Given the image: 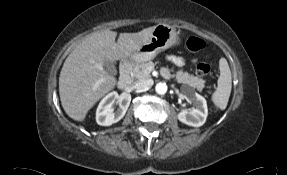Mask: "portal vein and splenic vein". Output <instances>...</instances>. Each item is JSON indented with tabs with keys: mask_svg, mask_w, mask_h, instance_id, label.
Listing matches in <instances>:
<instances>
[{
	"mask_svg": "<svg viewBox=\"0 0 287 175\" xmlns=\"http://www.w3.org/2000/svg\"><path fill=\"white\" fill-rule=\"evenodd\" d=\"M152 67H149L148 70L151 71Z\"/></svg>",
	"mask_w": 287,
	"mask_h": 175,
	"instance_id": "obj_1",
	"label": "portal vein and splenic vein"
}]
</instances>
